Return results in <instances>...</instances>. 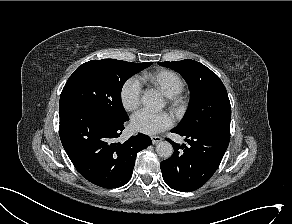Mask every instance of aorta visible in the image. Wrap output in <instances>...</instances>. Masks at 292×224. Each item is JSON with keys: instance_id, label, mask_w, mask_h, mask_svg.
I'll return each mask as SVG.
<instances>
[{"instance_id": "1", "label": "aorta", "mask_w": 292, "mask_h": 224, "mask_svg": "<svg viewBox=\"0 0 292 224\" xmlns=\"http://www.w3.org/2000/svg\"><path fill=\"white\" fill-rule=\"evenodd\" d=\"M144 106L151 109H161L164 107L162 95L154 90L144 93L141 99ZM156 152L161 158H170L173 154V147L167 141H161L156 146Z\"/></svg>"}]
</instances>
